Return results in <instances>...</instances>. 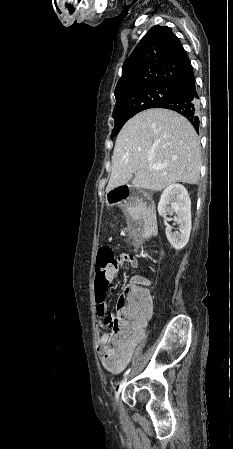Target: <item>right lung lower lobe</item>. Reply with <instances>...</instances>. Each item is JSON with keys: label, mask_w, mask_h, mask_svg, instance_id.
<instances>
[{"label": "right lung lower lobe", "mask_w": 233, "mask_h": 449, "mask_svg": "<svg viewBox=\"0 0 233 449\" xmlns=\"http://www.w3.org/2000/svg\"><path fill=\"white\" fill-rule=\"evenodd\" d=\"M173 88L176 91V96L160 103L155 108H166L180 113L192 123L198 132L199 96L196 91L195 77L175 84Z\"/></svg>", "instance_id": "98d812e1"}]
</instances>
